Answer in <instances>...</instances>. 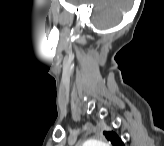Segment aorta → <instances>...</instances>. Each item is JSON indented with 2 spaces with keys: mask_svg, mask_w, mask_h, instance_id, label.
Segmentation results:
<instances>
[{
  "mask_svg": "<svg viewBox=\"0 0 164 146\" xmlns=\"http://www.w3.org/2000/svg\"><path fill=\"white\" fill-rule=\"evenodd\" d=\"M85 146H107V143L99 139H89L85 141Z\"/></svg>",
  "mask_w": 164,
  "mask_h": 146,
  "instance_id": "1",
  "label": "aorta"
}]
</instances>
